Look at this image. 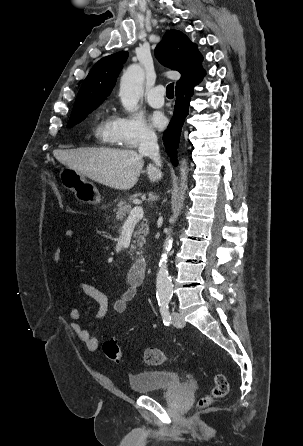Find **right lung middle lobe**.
Here are the masks:
<instances>
[{
    "mask_svg": "<svg viewBox=\"0 0 303 446\" xmlns=\"http://www.w3.org/2000/svg\"><path fill=\"white\" fill-rule=\"evenodd\" d=\"M97 107L98 106H92V107H88V108L73 112L70 116L67 127H72V126L76 125L77 123H80L88 113H90L92 110L96 109Z\"/></svg>",
    "mask_w": 303,
    "mask_h": 446,
    "instance_id": "obj_1",
    "label": "right lung middle lobe"
}]
</instances>
